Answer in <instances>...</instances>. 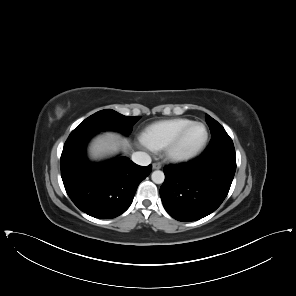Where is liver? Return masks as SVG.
<instances>
[{
	"label": "liver",
	"mask_w": 296,
	"mask_h": 296,
	"mask_svg": "<svg viewBox=\"0 0 296 296\" xmlns=\"http://www.w3.org/2000/svg\"><path fill=\"white\" fill-rule=\"evenodd\" d=\"M131 149L130 141L118 133L106 132L97 136L89 145V156L93 160H100L115 155L120 151Z\"/></svg>",
	"instance_id": "obj_1"
}]
</instances>
